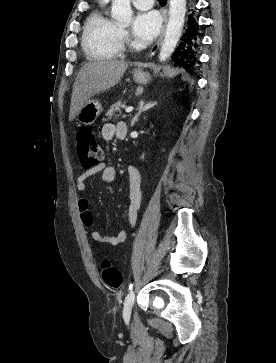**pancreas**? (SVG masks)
Instances as JSON below:
<instances>
[{
	"mask_svg": "<svg viewBox=\"0 0 276 363\" xmlns=\"http://www.w3.org/2000/svg\"><path fill=\"white\" fill-rule=\"evenodd\" d=\"M123 107H124V105L120 101L113 104L110 107V110L106 113V118H104L103 120L104 121L110 120L113 117L115 112H119V115H120V113H121L120 109L123 108ZM122 117L125 118L126 115H123Z\"/></svg>",
	"mask_w": 276,
	"mask_h": 363,
	"instance_id": "cf45deb5",
	"label": "pancreas"
}]
</instances>
